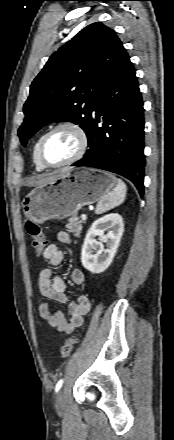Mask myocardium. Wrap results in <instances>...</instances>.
I'll return each instance as SVG.
<instances>
[{
	"label": "myocardium",
	"mask_w": 174,
	"mask_h": 440,
	"mask_svg": "<svg viewBox=\"0 0 174 440\" xmlns=\"http://www.w3.org/2000/svg\"><path fill=\"white\" fill-rule=\"evenodd\" d=\"M60 129H68L76 134V136L78 137V148H77L75 154L72 157H70L68 160H66L60 164H56V165L49 164L45 161V159L43 157L44 143H45L46 139L53 132L60 130ZM88 144H89V138H88L87 132L79 123L74 122V121H62V122H59V123L53 125L50 129H48L42 135V137L39 141V146H38V159H39L40 163L45 168H52V169L62 168V167L71 165V164L77 162L78 160H80L84 156V154L86 153L87 148H88Z\"/></svg>",
	"instance_id": "1"
}]
</instances>
